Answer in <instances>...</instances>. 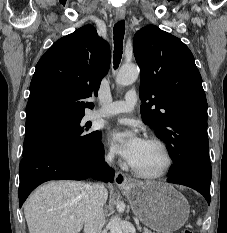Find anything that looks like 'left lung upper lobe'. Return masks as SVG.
Segmentation results:
<instances>
[{"label":"left lung upper lobe","instance_id":"obj_1","mask_svg":"<svg viewBox=\"0 0 227 233\" xmlns=\"http://www.w3.org/2000/svg\"><path fill=\"white\" fill-rule=\"evenodd\" d=\"M133 51L141 69V116L168 146L169 174L211 178L207 100L192 52L154 25L136 32Z\"/></svg>","mask_w":227,"mask_h":233}]
</instances>
